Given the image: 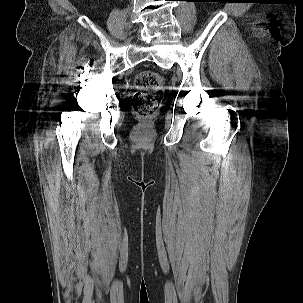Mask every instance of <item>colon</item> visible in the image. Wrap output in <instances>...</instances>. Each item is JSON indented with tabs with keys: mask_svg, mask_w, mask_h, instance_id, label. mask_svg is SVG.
I'll return each instance as SVG.
<instances>
[{
	"mask_svg": "<svg viewBox=\"0 0 303 303\" xmlns=\"http://www.w3.org/2000/svg\"><path fill=\"white\" fill-rule=\"evenodd\" d=\"M134 104L141 115L148 117L166 101L163 78L156 72L143 71L135 80Z\"/></svg>",
	"mask_w": 303,
	"mask_h": 303,
	"instance_id": "colon-1",
	"label": "colon"
}]
</instances>
